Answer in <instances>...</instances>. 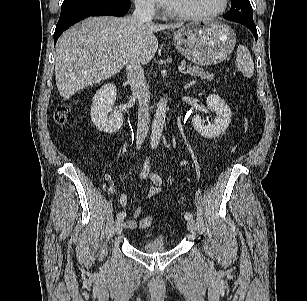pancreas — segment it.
<instances>
[{
  "mask_svg": "<svg viewBox=\"0 0 307 301\" xmlns=\"http://www.w3.org/2000/svg\"><path fill=\"white\" fill-rule=\"evenodd\" d=\"M185 74H189L194 77H200L201 79L212 80L214 75L209 72H205L202 68L198 66H188Z\"/></svg>",
  "mask_w": 307,
  "mask_h": 301,
  "instance_id": "cf45deb5",
  "label": "pancreas"
}]
</instances>
